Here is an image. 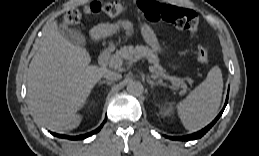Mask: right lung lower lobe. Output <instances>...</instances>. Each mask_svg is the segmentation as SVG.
<instances>
[{
	"label": "right lung lower lobe",
	"instance_id": "1",
	"mask_svg": "<svg viewBox=\"0 0 259 156\" xmlns=\"http://www.w3.org/2000/svg\"><path fill=\"white\" fill-rule=\"evenodd\" d=\"M107 120V118L105 119V121ZM104 122L102 123V125L97 128L96 130L92 131V132H89L87 134H84V135H80V136H66V135H62V134H55V133H52L53 135L57 136V137H61V138H66V139H71V140H77V139H84V138H87L95 133H97L103 126Z\"/></svg>",
	"mask_w": 259,
	"mask_h": 156
}]
</instances>
